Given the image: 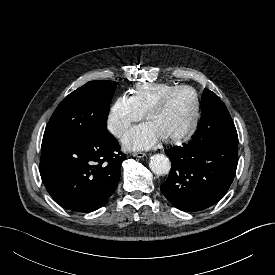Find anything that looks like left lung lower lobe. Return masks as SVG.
I'll return each mask as SVG.
<instances>
[{
  "label": "left lung lower lobe",
  "instance_id": "left-lung-lower-lobe-1",
  "mask_svg": "<svg viewBox=\"0 0 275 275\" xmlns=\"http://www.w3.org/2000/svg\"><path fill=\"white\" fill-rule=\"evenodd\" d=\"M168 179L161 184L164 196L179 210L207 209L228 191L237 168L238 144H195L170 147Z\"/></svg>",
  "mask_w": 275,
  "mask_h": 275
}]
</instances>
